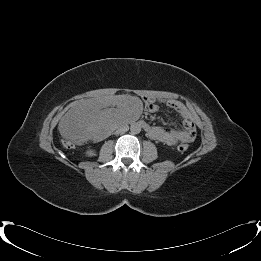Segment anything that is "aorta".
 <instances>
[{
  "label": "aorta",
  "mask_w": 261,
  "mask_h": 261,
  "mask_svg": "<svg viewBox=\"0 0 261 261\" xmlns=\"http://www.w3.org/2000/svg\"><path fill=\"white\" fill-rule=\"evenodd\" d=\"M130 131L132 134H139L141 132V125L139 123H132Z\"/></svg>",
  "instance_id": "1"
}]
</instances>
